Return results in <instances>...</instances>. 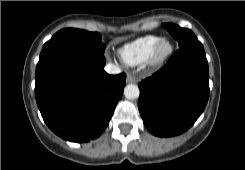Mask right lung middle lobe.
Here are the masks:
<instances>
[{"mask_svg": "<svg viewBox=\"0 0 245 170\" xmlns=\"http://www.w3.org/2000/svg\"><path fill=\"white\" fill-rule=\"evenodd\" d=\"M67 51L103 54L105 44L102 43L101 35L97 32L73 28L63 29L44 44L36 69L42 67L54 56Z\"/></svg>", "mask_w": 245, "mask_h": 170, "instance_id": "right-lung-middle-lobe-1", "label": "right lung middle lobe"}]
</instances>
